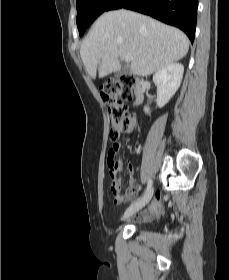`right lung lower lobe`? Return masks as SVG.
Returning a JSON list of instances; mask_svg holds the SVG:
<instances>
[{
	"instance_id": "1",
	"label": "right lung lower lobe",
	"mask_w": 229,
	"mask_h": 280,
	"mask_svg": "<svg viewBox=\"0 0 229 280\" xmlns=\"http://www.w3.org/2000/svg\"><path fill=\"white\" fill-rule=\"evenodd\" d=\"M198 0H115L109 10L137 11L183 30L193 43Z\"/></svg>"
}]
</instances>
